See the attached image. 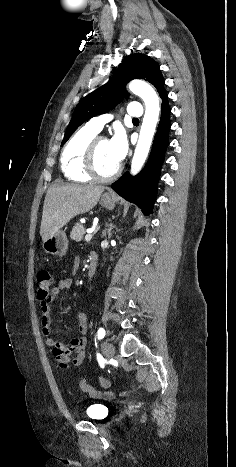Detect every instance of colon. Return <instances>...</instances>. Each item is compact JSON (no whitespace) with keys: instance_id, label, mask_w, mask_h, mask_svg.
<instances>
[{"instance_id":"1","label":"colon","mask_w":236,"mask_h":467,"mask_svg":"<svg viewBox=\"0 0 236 467\" xmlns=\"http://www.w3.org/2000/svg\"><path fill=\"white\" fill-rule=\"evenodd\" d=\"M53 291V277L51 275V273L47 270H41L39 273H38V276H37V296H38V299L40 301H45L47 300L51 293ZM108 383L106 381H102V385L106 386ZM80 387L81 389L92 395V396H96V397H104V398H108V399H112V398H115L117 396H124L126 395V391H122V392H119V393H115V392H99V391H96L92 386H90L85 379H81L80 381Z\"/></svg>"}]
</instances>
